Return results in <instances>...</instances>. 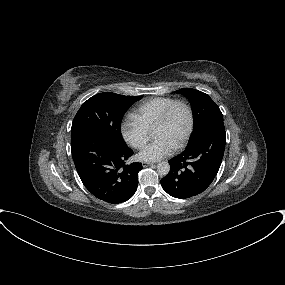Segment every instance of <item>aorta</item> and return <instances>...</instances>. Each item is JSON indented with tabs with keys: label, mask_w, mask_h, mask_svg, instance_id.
<instances>
[{
	"label": "aorta",
	"mask_w": 285,
	"mask_h": 285,
	"mask_svg": "<svg viewBox=\"0 0 285 285\" xmlns=\"http://www.w3.org/2000/svg\"><path fill=\"white\" fill-rule=\"evenodd\" d=\"M157 172L160 175H167L170 172V165L168 162L163 161L157 164Z\"/></svg>",
	"instance_id": "1"
}]
</instances>
